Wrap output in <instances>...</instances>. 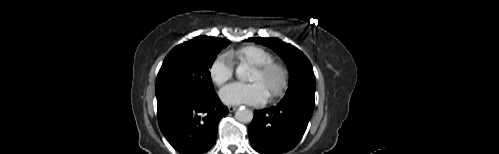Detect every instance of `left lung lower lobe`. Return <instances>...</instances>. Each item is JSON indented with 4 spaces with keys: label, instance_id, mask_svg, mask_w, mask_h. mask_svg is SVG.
Segmentation results:
<instances>
[{
    "label": "left lung lower lobe",
    "instance_id": "left-lung-lower-lobe-1",
    "mask_svg": "<svg viewBox=\"0 0 499 154\" xmlns=\"http://www.w3.org/2000/svg\"><path fill=\"white\" fill-rule=\"evenodd\" d=\"M315 105L314 91L286 94L274 107L254 111L249 126L252 147L262 154H279L293 149L301 140Z\"/></svg>",
    "mask_w": 499,
    "mask_h": 154
}]
</instances>
